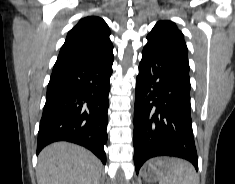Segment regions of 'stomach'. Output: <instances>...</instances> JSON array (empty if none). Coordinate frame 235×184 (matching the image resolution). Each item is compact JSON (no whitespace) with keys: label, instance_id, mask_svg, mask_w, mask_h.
<instances>
[{"label":"stomach","instance_id":"0dacf381","mask_svg":"<svg viewBox=\"0 0 235 184\" xmlns=\"http://www.w3.org/2000/svg\"><path fill=\"white\" fill-rule=\"evenodd\" d=\"M169 158H154L148 162L142 170V178L145 182H156L160 178H165L170 170Z\"/></svg>","mask_w":235,"mask_h":184}]
</instances>
